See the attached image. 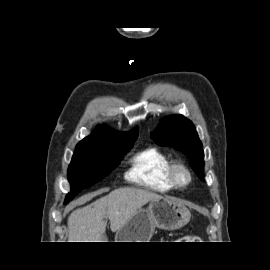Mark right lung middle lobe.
I'll return each mask as SVG.
<instances>
[{"mask_svg":"<svg viewBox=\"0 0 270 270\" xmlns=\"http://www.w3.org/2000/svg\"><path fill=\"white\" fill-rule=\"evenodd\" d=\"M133 144L134 141L101 147H76L68 168L71 192L67 195L65 203L115 169L120 164L121 157L132 148Z\"/></svg>","mask_w":270,"mask_h":270,"instance_id":"dd1d6c3e","label":"right lung middle lobe"}]
</instances>
